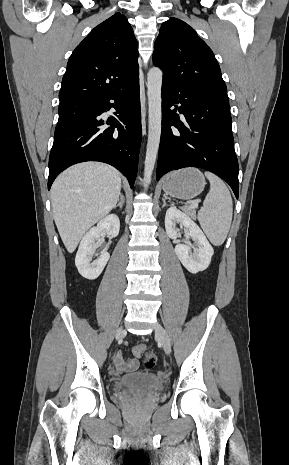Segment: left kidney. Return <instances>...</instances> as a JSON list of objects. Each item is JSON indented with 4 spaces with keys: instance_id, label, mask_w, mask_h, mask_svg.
Returning <instances> with one entry per match:
<instances>
[{
    "instance_id": "left-kidney-1",
    "label": "left kidney",
    "mask_w": 289,
    "mask_h": 465,
    "mask_svg": "<svg viewBox=\"0 0 289 465\" xmlns=\"http://www.w3.org/2000/svg\"><path fill=\"white\" fill-rule=\"evenodd\" d=\"M184 228L194 241V245L188 239H184V244L175 246V253L183 266L191 273L196 274L204 271L211 262L214 250L199 226L185 213L176 207H170L165 215V229L168 237L177 238L180 229Z\"/></svg>"
}]
</instances>
